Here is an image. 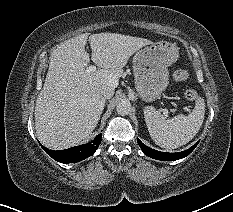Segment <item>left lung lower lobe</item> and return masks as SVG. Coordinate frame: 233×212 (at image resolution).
I'll use <instances>...</instances> for the list:
<instances>
[{"label":"left lung lower lobe","instance_id":"left-lung-lower-lobe-1","mask_svg":"<svg viewBox=\"0 0 233 212\" xmlns=\"http://www.w3.org/2000/svg\"><path fill=\"white\" fill-rule=\"evenodd\" d=\"M137 141H138V144L141 147L142 151L144 152V154H146L147 156H149L151 158L163 160V161H172V160H178V159L184 158L187 155H189L194 150V148L197 146V144L199 143V142H197L191 148H189L183 152L166 153V152H160V151H157V150H154V149L147 147L138 138H137Z\"/></svg>","mask_w":233,"mask_h":212}]
</instances>
